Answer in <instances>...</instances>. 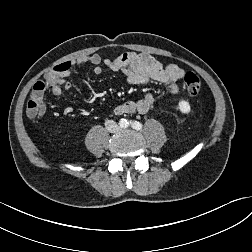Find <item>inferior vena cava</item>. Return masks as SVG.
Listing matches in <instances>:
<instances>
[{"mask_svg":"<svg viewBox=\"0 0 252 252\" xmlns=\"http://www.w3.org/2000/svg\"><path fill=\"white\" fill-rule=\"evenodd\" d=\"M105 127L110 133H116L120 130V127L113 120H107L105 122Z\"/></svg>","mask_w":252,"mask_h":252,"instance_id":"1","label":"inferior vena cava"}]
</instances>
